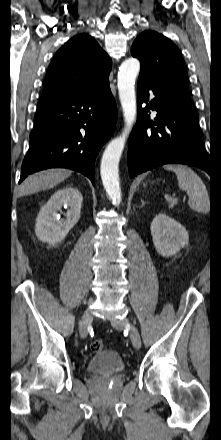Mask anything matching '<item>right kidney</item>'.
I'll list each match as a JSON object with an SVG mask.
<instances>
[{
  "instance_id": "obj_1",
  "label": "right kidney",
  "mask_w": 221,
  "mask_h": 440,
  "mask_svg": "<svg viewBox=\"0 0 221 440\" xmlns=\"http://www.w3.org/2000/svg\"><path fill=\"white\" fill-rule=\"evenodd\" d=\"M82 201V194L76 188L64 187L56 191L37 216L35 233L38 239L51 245L61 242L78 222ZM62 207L67 209L66 219L58 214Z\"/></svg>"
}]
</instances>
